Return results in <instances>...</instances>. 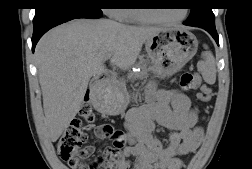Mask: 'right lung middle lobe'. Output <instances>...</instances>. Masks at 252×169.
Instances as JSON below:
<instances>
[{
	"label": "right lung middle lobe",
	"instance_id": "right-lung-middle-lobe-1",
	"mask_svg": "<svg viewBox=\"0 0 252 169\" xmlns=\"http://www.w3.org/2000/svg\"><path fill=\"white\" fill-rule=\"evenodd\" d=\"M102 0H72L71 2L56 4L54 0H41L36 8V14L43 13L56 6H77L96 13H101Z\"/></svg>",
	"mask_w": 252,
	"mask_h": 169
}]
</instances>
